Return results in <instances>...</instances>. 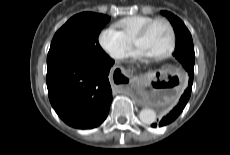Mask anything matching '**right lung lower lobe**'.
I'll list each match as a JSON object with an SVG mask.
<instances>
[{
    "label": "right lung lower lobe",
    "mask_w": 230,
    "mask_h": 155,
    "mask_svg": "<svg viewBox=\"0 0 230 155\" xmlns=\"http://www.w3.org/2000/svg\"><path fill=\"white\" fill-rule=\"evenodd\" d=\"M113 64L108 56L91 62L47 65L49 100L66 124L91 129L106 119L112 101L108 75Z\"/></svg>",
    "instance_id": "1"
}]
</instances>
